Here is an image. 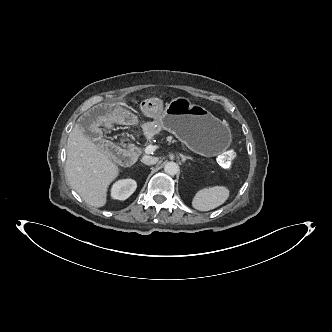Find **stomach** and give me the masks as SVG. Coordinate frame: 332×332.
Here are the masks:
<instances>
[{"label":"stomach","mask_w":332,"mask_h":332,"mask_svg":"<svg viewBox=\"0 0 332 332\" xmlns=\"http://www.w3.org/2000/svg\"><path fill=\"white\" fill-rule=\"evenodd\" d=\"M161 124L191 150L205 156L221 153L232 141L226 124L184 97H177L166 106Z\"/></svg>","instance_id":"obj_1"}]
</instances>
